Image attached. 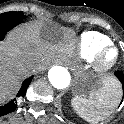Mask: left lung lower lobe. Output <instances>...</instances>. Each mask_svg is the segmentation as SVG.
<instances>
[{
  "label": "left lung lower lobe",
  "mask_w": 124,
  "mask_h": 124,
  "mask_svg": "<svg viewBox=\"0 0 124 124\" xmlns=\"http://www.w3.org/2000/svg\"><path fill=\"white\" fill-rule=\"evenodd\" d=\"M115 76L118 78V80L122 84V89H123V97H124V74L121 71L115 72Z\"/></svg>",
  "instance_id": "obj_1"
}]
</instances>
